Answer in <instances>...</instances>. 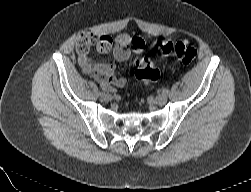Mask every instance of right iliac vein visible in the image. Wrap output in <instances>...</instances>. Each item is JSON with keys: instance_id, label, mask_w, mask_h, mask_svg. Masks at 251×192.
<instances>
[{"instance_id": "1", "label": "right iliac vein", "mask_w": 251, "mask_h": 192, "mask_svg": "<svg viewBox=\"0 0 251 192\" xmlns=\"http://www.w3.org/2000/svg\"><path fill=\"white\" fill-rule=\"evenodd\" d=\"M103 99L106 100V101H111L112 100V96H111V94L106 93V94H104Z\"/></svg>"}]
</instances>
